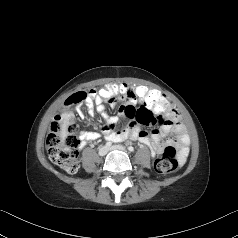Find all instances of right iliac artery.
Segmentation results:
<instances>
[{
  "label": "right iliac artery",
  "mask_w": 238,
  "mask_h": 238,
  "mask_svg": "<svg viewBox=\"0 0 238 238\" xmlns=\"http://www.w3.org/2000/svg\"><path fill=\"white\" fill-rule=\"evenodd\" d=\"M105 145H106V147H110L112 145V143L111 142H107Z\"/></svg>",
  "instance_id": "82829eb1"
}]
</instances>
